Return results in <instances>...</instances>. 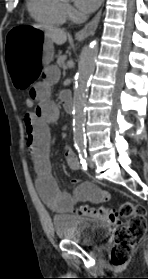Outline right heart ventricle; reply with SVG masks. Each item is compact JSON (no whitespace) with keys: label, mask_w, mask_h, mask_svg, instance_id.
<instances>
[{"label":"right heart ventricle","mask_w":148,"mask_h":279,"mask_svg":"<svg viewBox=\"0 0 148 279\" xmlns=\"http://www.w3.org/2000/svg\"><path fill=\"white\" fill-rule=\"evenodd\" d=\"M31 17L46 26H59L65 23L67 14L62 0H27Z\"/></svg>","instance_id":"obj_1"}]
</instances>
